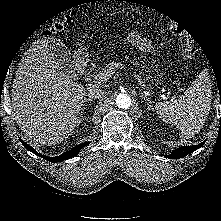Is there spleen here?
I'll return each mask as SVG.
<instances>
[{"label":"spleen","mask_w":221,"mask_h":221,"mask_svg":"<svg viewBox=\"0 0 221 221\" xmlns=\"http://www.w3.org/2000/svg\"><path fill=\"white\" fill-rule=\"evenodd\" d=\"M212 91L208 73L201 72L178 99L155 105L166 123L180 129V137L191 138L203 127L211 108Z\"/></svg>","instance_id":"1"}]
</instances>
